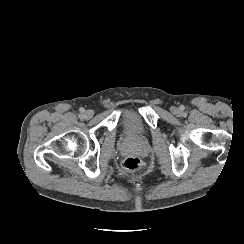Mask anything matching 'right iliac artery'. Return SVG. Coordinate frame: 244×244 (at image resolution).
I'll return each mask as SVG.
<instances>
[{
	"mask_svg": "<svg viewBox=\"0 0 244 244\" xmlns=\"http://www.w3.org/2000/svg\"><path fill=\"white\" fill-rule=\"evenodd\" d=\"M80 112L83 113L84 112V108H80Z\"/></svg>",
	"mask_w": 244,
	"mask_h": 244,
	"instance_id": "82829eb1",
	"label": "right iliac artery"
}]
</instances>
